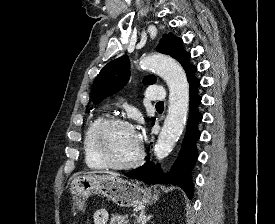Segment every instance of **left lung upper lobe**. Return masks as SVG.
<instances>
[{"label": "left lung upper lobe", "mask_w": 275, "mask_h": 224, "mask_svg": "<svg viewBox=\"0 0 275 224\" xmlns=\"http://www.w3.org/2000/svg\"><path fill=\"white\" fill-rule=\"evenodd\" d=\"M181 38L174 36L172 33L164 34L157 50L160 53L170 55L176 59L184 68L187 76L196 68L190 63V53L183 49ZM130 63L127 55L121 56L107 65H105L92 86V101L95 104L100 103L104 98L110 96L121 89L129 80ZM156 78L148 75L144 78L145 84H154ZM154 120V118H152Z\"/></svg>", "instance_id": "1"}]
</instances>
